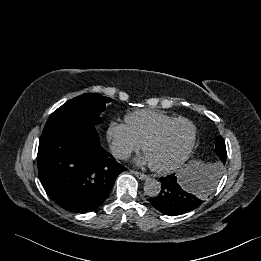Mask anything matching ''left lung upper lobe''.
Wrapping results in <instances>:
<instances>
[{"mask_svg":"<svg viewBox=\"0 0 261 261\" xmlns=\"http://www.w3.org/2000/svg\"><path fill=\"white\" fill-rule=\"evenodd\" d=\"M215 145H216L215 153L217 154V156L220 159L219 162L224 164L226 161V157H227L224 139L221 136L216 138Z\"/></svg>","mask_w":261,"mask_h":261,"instance_id":"obj_1","label":"left lung upper lobe"}]
</instances>
